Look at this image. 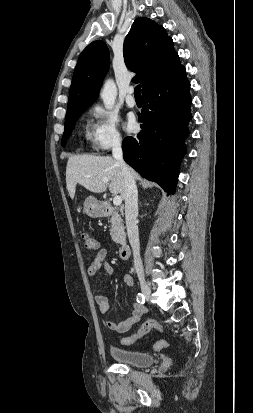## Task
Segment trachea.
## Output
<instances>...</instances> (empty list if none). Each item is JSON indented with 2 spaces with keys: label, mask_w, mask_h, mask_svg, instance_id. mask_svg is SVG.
<instances>
[{
  "label": "trachea",
  "mask_w": 253,
  "mask_h": 413,
  "mask_svg": "<svg viewBox=\"0 0 253 413\" xmlns=\"http://www.w3.org/2000/svg\"><path fill=\"white\" fill-rule=\"evenodd\" d=\"M135 98H141V85H137L134 90Z\"/></svg>",
  "instance_id": "obj_1"
}]
</instances>
